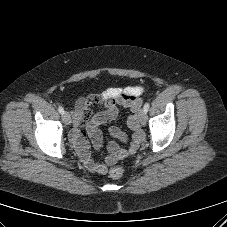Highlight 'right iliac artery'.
<instances>
[{
  "instance_id": "82829eb1",
  "label": "right iliac artery",
  "mask_w": 227,
  "mask_h": 227,
  "mask_svg": "<svg viewBox=\"0 0 227 227\" xmlns=\"http://www.w3.org/2000/svg\"><path fill=\"white\" fill-rule=\"evenodd\" d=\"M58 111H59L61 114L64 113V109H63L61 106L58 107Z\"/></svg>"
}]
</instances>
